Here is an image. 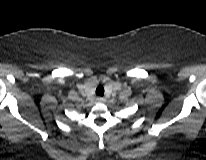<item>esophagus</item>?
<instances>
[{"mask_svg":"<svg viewBox=\"0 0 206 160\" xmlns=\"http://www.w3.org/2000/svg\"><path fill=\"white\" fill-rule=\"evenodd\" d=\"M105 101V99L103 98V97H97L96 98V102L97 103H102V102H104Z\"/></svg>","mask_w":206,"mask_h":160,"instance_id":"1","label":"esophagus"}]
</instances>
